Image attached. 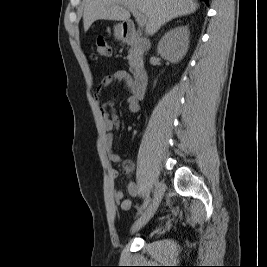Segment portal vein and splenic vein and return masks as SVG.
<instances>
[{
    "label": "portal vein and splenic vein",
    "mask_w": 267,
    "mask_h": 267,
    "mask_svg": "<svg viewBox=\"0 0 267 267\" xmlns=\"http://www.w3.org/2000/svg\"><path fill=\"white\" fill-rule=\"evenodd\" d=\"M123 6L133 14V16L136 18V21L140 27H143L146 23V17L144 14H142L138 9L134 7H129L126 4H123Z\"/></svg>",
    "instance_id": "obj_1"
}]
</instances>
